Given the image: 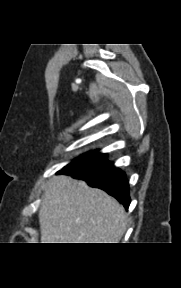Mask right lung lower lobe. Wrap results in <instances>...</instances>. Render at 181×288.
Instances as JSON below:
<instances>
[{"instance_id": "right-lung-lower-lobe-1", "label": "right lung lower lobe", "mask_w": 181, "mask_h": 288, "mask_svg": "<svg viewBox=\"0 0 181 288\" xmlns=\"http://www.w3.org/2000/svg\"><path fill=\"white\" fill-rule=\"evenodd\" d=\"M61 173L86 181L90 186L106 191L116 198L126 209L131 199L129 184L123 171L108 160L94 163H80L66 166Z\"/></svg>"}]
</instances>
